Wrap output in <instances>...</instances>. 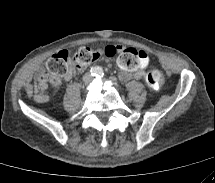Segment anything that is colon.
<instances>
[{
  "label": "colon",
  "instance_id": "colon-1",
  "mask_svg": "<svg viewBox=\"0 0 215 183\" xmlns=\"http://www.w3.org/2000/svg\"><path fill=\"white\" fill-rule=\"evenodd\" d=\"M119 51L114 46L106 47L103 50L82 47L74 54L63 50L47 61L45 73L49 78H62L71 68L84 69L93 62L113 57ZM145 80L150 88L159 89L164 82V76L160 69L154 67L148 70Z\"/></svg>",
  "mask_w": 215,
  "mask_h": 183
}]
</instances>
